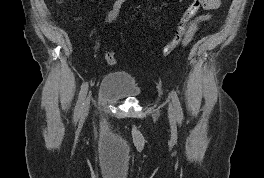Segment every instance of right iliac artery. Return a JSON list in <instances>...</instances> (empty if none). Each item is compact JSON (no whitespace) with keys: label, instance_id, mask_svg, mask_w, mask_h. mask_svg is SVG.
Wrapping results in <instances>:
<instances>
[{"label":"right iliac artery","instance_id":"82829eb1","mask_svg":"<svg viewBox=\"0 0 264 178\" xmlns=\"http://www.w3.org/2000/svg\"><path fill=\"white\" fill-rule=\"evenodd\" d=\"M87 91H88V83H84L81 91L79 93V97L75 106V110H74V121L77 122L80 118L82 109H83V105H84V100L86 98L87 95Z\"/></svg>","mask_w":264,"mask_h":178}]
</instances>
